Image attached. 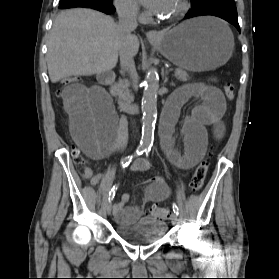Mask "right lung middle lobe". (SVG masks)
<instances>
[{
    "label": "right lung middle lobe",
    "instance_id": "obj_1",
    "mask_svg": "<svg viewBox=\"0 0 279 279\" xmlns=\"http://www.w3.org/2000/svg\"><path fill=\"white\" fill-rule=\"evenodd\" d=\"M104 1H106L108 3H112L113 0H104Z\"/></svg>",
    "mask_w": 279,
    "mask_h": 279
}]
</instances>
